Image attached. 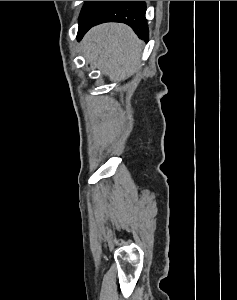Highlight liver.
Returning a JSON list of instances; mask_svg holds the SVG:
<instances>
[{"instance_id":"1","label":"liver","mask_w":237,"mask_h":300,"mask_svg":"<svg viewBox=\"0 0 237 300\" xmlns=\"http://www.w3.org/2000/svg\"><path fill=\"white\" fill-rule=\"evenodd\" d=\"M143 41L123 23L93 27L82 41L87 63H93L111 81H122L135 73L140 63Z\"/></svg>"}]
</instances>
